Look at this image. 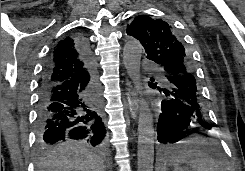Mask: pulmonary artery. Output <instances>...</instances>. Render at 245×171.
Wrapping results in <instances>:
<instances>
[{"label":"pulmonary artery","mask_w":245,"mask_h":171,"mask_svg":"<svg viewBox=\"0 0 245 171\" xmlns=\"http://www.w3.org/2000/svg\"><path fill=\"white\" fill-rule=\"evenodd\" d=\"M153 65H154L153 62L150 61V60H148V59H143V60H142V67H143L144 69H149V68H151Z\"/></svg>","instance_id":"e3ab8cb5"}]
</instances>
